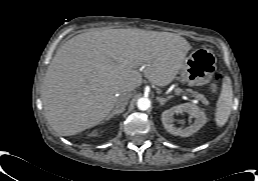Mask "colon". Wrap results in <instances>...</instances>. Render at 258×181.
Segmentation results:
<instances>
[{"label":"colon","instance_id":"1","mask_svg":"<svg viewBox=\"0 0 258 181\" xmlns=\"http://www.w3.org/2000/svg\"><path fill=\"white\" fill-rule=\"evenodd\" d=\"M223 80L224 76L222 74H217L213 80L212 87L216 89Z\"/></svg>","mask_w":258,"mask_h":181}]
</instances>
